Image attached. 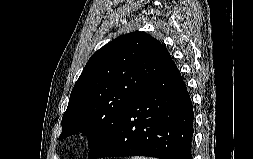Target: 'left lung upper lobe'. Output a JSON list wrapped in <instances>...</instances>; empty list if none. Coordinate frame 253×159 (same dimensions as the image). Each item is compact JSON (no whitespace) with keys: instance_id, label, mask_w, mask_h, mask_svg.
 <instances>
[{"instance_id":"left-lung-upper-lobe-1","label":"left lung upper lobe","mask_w":253,"mask_h":159,"mask_svg":"<svg viewBox=\"0 0 253 159\" xmlns=\"http://www.w3.org/2000/svg\"><path fill=\"white\" fill-rule=\"evenodd\" d=\"M172 62L167 49L143 32L122 35L96 51L76 81L62 118L60 140L89 135L88 158L116 126L124 107Z\"/></svg>"}]
</instances>
